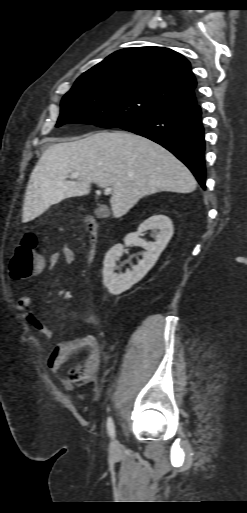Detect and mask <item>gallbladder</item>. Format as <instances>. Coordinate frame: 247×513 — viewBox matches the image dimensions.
I'll list each match as a JSON object with an SVG mask.
<instances>
[{
  "label": "gallbladder",
  "instance_id": "1",
  "mask_svg": "<svg viewBox=\"0 0 247 513\" xmlns=\"http://www.w3.org/2000/svg\"><path fill=\"white\" fill-rule=\"evenodd\" d=\"M96 214H97V215H100V214H101L100 209H97V210H96Z\"/></svg>",
  "mask_w": 247,
  "mask_h": 513
}]
</instances>
